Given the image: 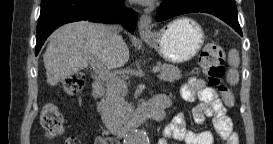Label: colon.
Here are the masks:
<instances>
[{
    "instance_id": "obj_1",
    "label": "colon",
    "mask_w": 273,
    "mask_h": 144,
    "mask_svg": "<svg viewBox=\"0 0 273 144\" xmlns=\"http://www.w3.org/2000/svg\"><path fill=\"white\" fill-rule=\"evenodd\" d=\"M224 63L225 53L222 46L217 41L208 42L199 57L200 69L209 83L218 88L224 101L228 105H231L232 96L226 86L222 83L225 73ZM84 84L85 77L83 74L79 73L68 77L64 82V88L67 93L75 94L82 90ZM41 121L50 137H54L62 131V115L53 105H47L44 108Z\"/></svg>"
}]
</instances>
